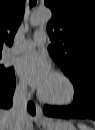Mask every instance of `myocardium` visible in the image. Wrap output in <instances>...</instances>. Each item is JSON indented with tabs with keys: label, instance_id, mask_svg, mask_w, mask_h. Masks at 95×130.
<instances>
[{
	"label": "myocardium",
	"instance_id": "1",
	"mask_svg": "<svg viewBox=\"0 0 95 130\" xmlns=\"http://www.w3.org/2000/svg\"><path fill=\"white\" fill-rule=\"evenodd\" d=\"M54 75L61 77L68 85L69 87V96L66 99L63 100H54V99H50L44 96L43 92L41 91V89L38 91V96L39 99L47 104L50 105H68L71 104L75 97H76V87L74 82L72 81V79L64 72L60 71V70H56L53 72Z\"/></svg>",
	"mask_w": 95,
	"mask_h": 130
}]
</instances>
